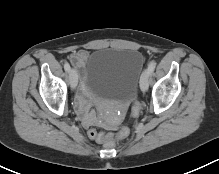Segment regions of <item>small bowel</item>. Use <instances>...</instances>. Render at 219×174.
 Returning <instances> with one entry per match:
<instances>
[{
  "label": "small bowel",
  "instance_id": "small-bowel-1",
  "mask_svg": "<svg viewBox=\"0 0 219 174\" xmlns=\"http://www.w3.org/2000/svg\"><path fill=\"white\" fill-rule=\"evenodd\" d=\"M88 57H89L88 51L79 50L73 52L70 55V61L77 69H81L84 67L85 63L87 62ZM87 99H88V92L85 85L83 84L80 92L77 95L76 102H77L79 113L81 114L83 122L86 126H88L90 123L96 120L95 114L89 112Z\"/></svg>",
  "mask_w": 219,
  "mask_h": 174
}]
</instances>
